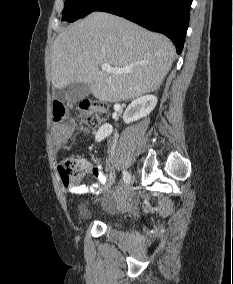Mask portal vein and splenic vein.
<instances>
[{
    "label": "portal vein and splenic vein",
    "mask_w": 233,
    "mask_h": 284,
    "mask_svg": "<svg viewBox=\"0 0 233 284\" xmlns=\"http://www.w3.org/2000/svg\"><path fill=\"white\" fill-rule=\"evenodd\" d=\"M101 69L102 71H106V72H112V73H127L130 70L129 69H117V68H113L111 67L109 64L107 63H103L101 64Z\"/></svg>",
    "instance_id": "18ae733b"
}]
</instances>
